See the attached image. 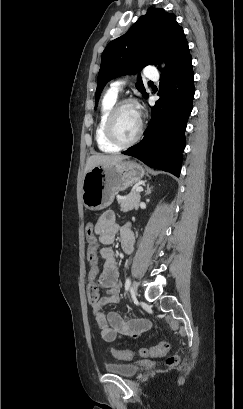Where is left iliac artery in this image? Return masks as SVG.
<instances>
[{"instance_id": "1", "label": "left iliac artery", "mask_w": 243, "mask_h": 409, "mask_svg": "<svg viewBox=\"0 0 243 409\" xmlns=\"http://www.w3.org/2000/svg\"><path fill=\"white\" fill-rule=\"evenodd\" d=\"M130 286H131V281H130L129 278H127V280H126V282H125V290L128 291L129 288H130Z\"/></svg>"}]
</instances>
